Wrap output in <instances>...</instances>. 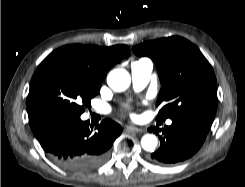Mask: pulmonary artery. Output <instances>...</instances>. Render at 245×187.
Returning a JSON list of instances; mask_svg holds the SVG:
<instances>
[{
  "label": "pulmonary artery",
  "mask_w": 245,
  "mask_h": 187,
  "mask_svg": "<svg viewBox=\"0 0 245 187\" xmlns=\"http://www.w3.org/2000/svg\"><path fill=\"white\" fill-rule=\"evenodd\" d=\"M153 62L150 59H140L131 64V78L133 87L142 90L152 76ZM171 124V121H168Z\"/></svg>",
  "instance_id": "e3ab8cb5"
}]
</instances>
